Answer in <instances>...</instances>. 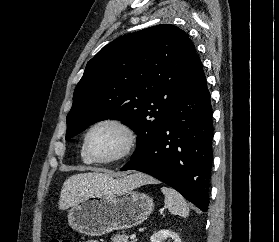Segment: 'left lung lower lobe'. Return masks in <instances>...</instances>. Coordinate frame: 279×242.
I'll return each instance as SVG.
<instances>
[{"instance_id": "obj_1", "label": "left lung lower lobe", "mask_w": 279, "mask_h": 242, "mask_svg": "<svg viewBox=\"0 0 279 242\" xmlns=\"http://www.w3.org/2000/svg\"><path fill=\"white\" fill-rule=\"evenodd\" d=\"M212 108L200 59L151 147L121 170H138L180 192L206 212L212 166Z\"/></svg>"}]
</instances>
